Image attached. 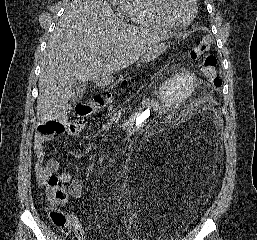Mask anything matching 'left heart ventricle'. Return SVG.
<instances>
[{"instance_id": "left-heart-ventricle-1", "label": "left heart ventricle", "mask_w": 257, "mask_h": 240, "mask_svg": "<svg viewBox=\"0 0 257 240\" xmlns=\"http://www.w3.org/2000/svg\"><path fill=\"white\" fill-rule=\"evenodd\" d=\"M164 9L167 16L177 24L185 23L192 14L190 0H165Z\"/></svg>"}]
</instances>
